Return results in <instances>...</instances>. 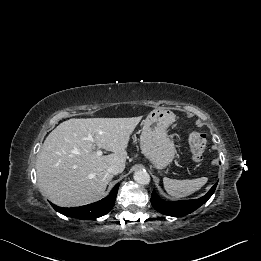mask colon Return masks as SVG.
<instances>
[{"mask_svg":"<svg viewBox=\"0 0 261 261\" xmlns=\"http://www.w3.org/2000/svg\"><path fill=\"white\" fill-rule=\"evenodd\" d=\"M191 157L194 162H201L206 150V137L203 133L191 129L188 135Z\"/></svg>","mask_w":261,"mask_h":261,"instance_id":"obj_1","label":"colon"}]
</instances>
